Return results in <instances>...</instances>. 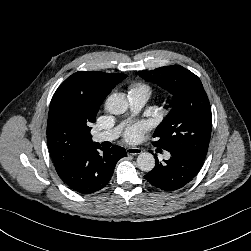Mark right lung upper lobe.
Wrapping results in <instances>:
<instances>
[{"label": "right lung upper lobe", "instance_id": "obj_1", "mask_svg": "<svg viewBox=\"0 0 251 251\" xmlns=\"http://www.w3.org/2000/svg\"><path fill=\"white\" fill-rule=\"evenodd\" d=\"M125 74L79 71L54 93L48 114L47 143L57 173L65 170L92 141L91 124L111 90Z\"/></svg>", "mask_w": 251, "mask_h": 251}]
</instances>
